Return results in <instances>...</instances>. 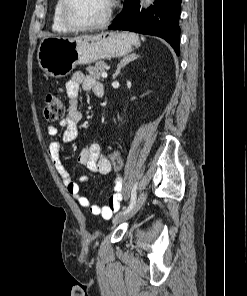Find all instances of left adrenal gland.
Here are the masks:
<instances>
[{
    "label": "left adrenal gland",
    "instance_id": "obj_1",
    "mask_svg": "<svg viewBox=\"0 0 247 296\" xmlns=\"http://www.w3.org/2000/svg\"><path fill=\"white\" fill-rule=\"evenodd\" d=\"M137 58H139V55H136L135 53L124 57L117 65L116 71L113 74V80L116 79V77L120 74L121 68L125 67L127 64H129Z\"/></svg>",
    "mask_w": 247,
    "mask_h": 296
}]
</instances>
